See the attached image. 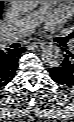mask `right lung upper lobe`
<instances>
[{"instance_id": "right-lung-upper-lobe-1", "label": "right lung upper lobe", "mask_w": 74, "mask_h": 122, "mask_svg": "<svg viewBox=\"0 0 74 122\" xmlns=\"http://www.w3.org/2000/svg\"><path fill=\"white\" fill-rule=\"evenodd\" d=\"M2 3H3V1H0V18H1V13H2V12H1V11H2V10H1V4H2Z\"/></svg>"}]
</instances>
